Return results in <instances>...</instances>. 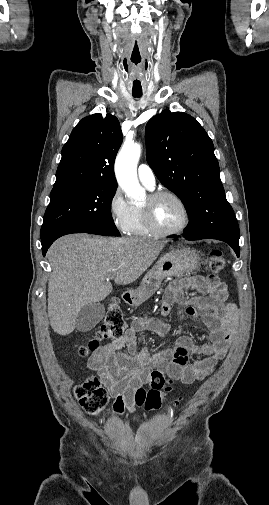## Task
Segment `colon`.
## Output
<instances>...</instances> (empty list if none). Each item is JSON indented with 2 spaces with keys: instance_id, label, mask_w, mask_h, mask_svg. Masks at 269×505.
I'll list each match as a JSON object with an SVG mask.
<instances>
[{
  "instance_id": "obj_1",
  "label": "colon",
  "mask_w": 269,
  "mask_h": 505,
  "mask_svg": "<svg viewBox=\"0 0 269 505\" xmlns=\"http://www.w3.org/2000/svg\"><path fill=\"white\" fill-rule=\"evenodd\" d=\"M226 258L220 250H212L207 259L209 271L213 278H218V272L224 269ZM126 322L122 310L117 303H111L108 307L105 319L98 330L96 337L81 348L82 354L95 351L101 340L115 339L124 335ZM148 390L138 388L135 393V402L146 410H154L160 407L161 399L171 391V380L158 369L152 370L147 378ZM79 404L90 413H97L108 401L107 395L99 379L90 377L75 390Z\"/></svg>"
}]
</instances>
